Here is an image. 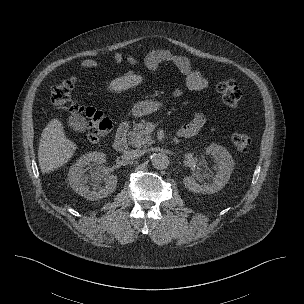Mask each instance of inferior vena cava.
<instances>
[{"mask_svg": "<svg viewBox=\"0 0 304 304\" xmlns=\"http://www.w3.org/2000/svg\"><path fill=\"white\" fill-rule=\"evenodd\" d=\"M144 154L143 150H129L124 153L126 159L134 160L140 158Z\"/></svg>", "mask_w": 304, "mask_h": 304, "instance_id": "1", "label": "inferior vena cava"}]
</instances>
